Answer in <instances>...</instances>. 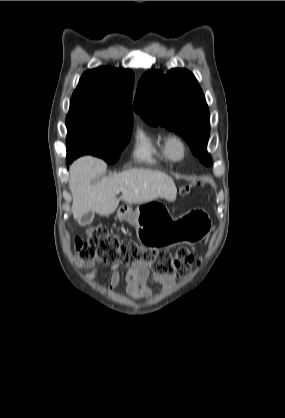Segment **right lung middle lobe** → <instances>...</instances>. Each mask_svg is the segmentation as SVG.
I'll return each mask as SVG.
<instances>
[{
	"label": "right lung middle lobe",
	"mask_w": 285,
	"mask_h": 418,
	"mask_svg": "<svg viewBox=\"0 0 285 418\" xmlns=\"http://www.w3.org/2000/svg\"><path fill=\"white\" fill-rule=\"evenodd\" d=\"M67 161L90 154L115 163L129 141L132 126L102 119L67 115Z\"/></svg>",
	"instance_id": "right-lung-middle-lobe-1"
}]
</instances>
